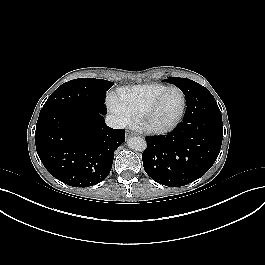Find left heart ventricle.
Wrapping results in <instances>:
<instances>
[{
    "label": "left heart ventricle",
    "mask_w": 265,
    "mask_h": 265,
    "mask_svg": "<svg viewBox=\"0 0 265 265\" xmlns=\"http://www.w3.org/2000/svg\"><path fill=\"white\" fill-rule=\"evenodd\" d=\"M182 104V98L178 91H168L150 117V123L155 126H163L171 122L178 114Z\"/></svg>",
    "instance_id": "obj_1"
}]
</instances>
